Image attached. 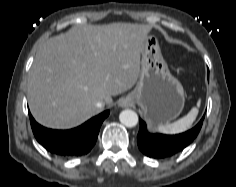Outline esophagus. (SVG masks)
I'll use <instances>...</instances> for the list:
<instances>
[{
	"label": "esophagus",
	"mask_w": 236,
	"mask_h": 187,
	"mask_svg": "<svg viewBox=\"0 0 236 187\" xmlns=\"http://www.w3.org/2000/svg\"><path fill=\"white\" fill-rule=\"evenodd\" d=\"M130 104H131V101L127 98L119 102L120 106H129Z\"/></svg>",
	"instance_id": "esophagus-1"
}]
</instances>
